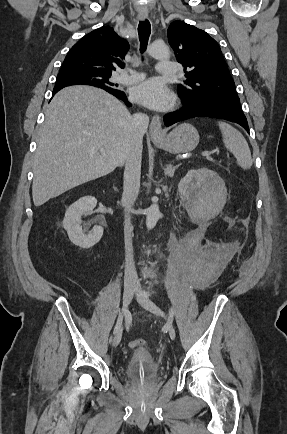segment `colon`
<instances>
[{
    "label": "colon",
    "instance_id": "1",
    "mask_svg": "<svg viewBox=\"0 0 287 434\" xmlns=\"http://www.w3.org/2000/svg\"><path fill=\"white\" fill-rule=\"evenodd\" d=\"M129 345L131 348H144L146 346V343L141 339H136L131 341Z\"/></svg>",
    "mask_w": 287,
    "mask_h": 434
}]
</instances>
